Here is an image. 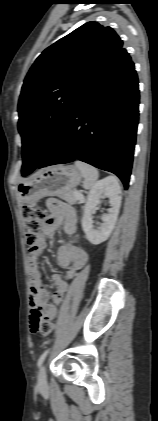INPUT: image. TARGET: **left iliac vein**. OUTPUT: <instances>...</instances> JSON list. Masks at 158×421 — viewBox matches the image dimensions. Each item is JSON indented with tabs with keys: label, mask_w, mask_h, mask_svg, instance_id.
I'll return each mask as SVG.
<instances>
[{
	"label": "left iliac vein",
	"mask_w": 158,
	"mask_h": 421,
	"mask_svg": "<svg viewBox=\"0 0 158 421\" xmlns=\"http://www.w3.org/2000/svg\"><path fill=\"white\" fill-rule=\"evenodd\" d=\"M47 380H46V369L45 366H41L39 373H38V384L41 387L46 386Z\"/></svg>",
	"instance_id": "obj_1"
}]
</instances>
